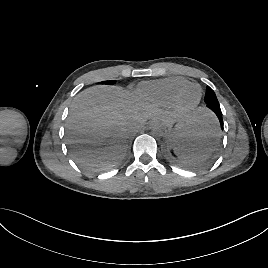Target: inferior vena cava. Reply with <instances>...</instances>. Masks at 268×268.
Segmentation results:
<instances>
[{"mask_svg": "<svg viewBox=\"0 0 268 268\" xmlns=\"http://www.w3.org/2000/svg\"><path fill=\"white\" fill-rule=\"evenodd\" d=\"M137 127H138V124L137 123H134L133 124V127L131 128V131L132 132H135Z\"/></svg>", "mask_w": 268, "mask_h": 268, "instance_id": "inferior-vena-cava-1", "label": "inferior vena cava"}]
</instances>
